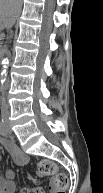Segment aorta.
I'll use <instances>...</instances> for the list:
<instances>
[{
    "label": "aorta",
    "instance_id": "762f6f07",
    "mask_svg": "<svg viewBox=\"0 0 103 193\" xmlns=\"http://www.w3.org/2000/svg\"><path fill=\"white\" fill-rule=\"evenodd\" d=\"M9 65V59L4 58L1 63V81L4 82L7 77V69Z\"/></svg>",
    "mask_w": 103,
    "mask_h": 193
}]
</instances>
